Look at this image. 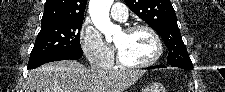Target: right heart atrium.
Returning <instances> with one entry per match:
<instances>
[{"mask_svg": "<svg viewBox=\"0 0 225 92\" xmlns=\"http://www.w3.org/2000/svg\"><path fill=\"white\" fill-rule=\"evenodd\" d=\"M80 42L85 55L95 65L105 67L111 64V52L94 26L83 24L80 30Z\"/></svg>", "mask_w": 225, "mask_h": 92, "instance_id": "right-heart-atrium-1", "label": "right heart atrium"}]
</instances>
